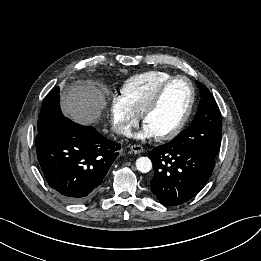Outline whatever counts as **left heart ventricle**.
Segmentation results:
<instances>
[{"instance_id":"obj_1","label":"left heart ventricle","mask_w":261,"mask_h":261,"mask_svg":"<svg viewBox=\"0 0 261 261\" xmlns=\"http://www.w3.org/2000/svg\"><path fill=\"white\" fill-rule=\"evenodd\" d=\"M190 100V88L185 80L174 82L166 91L159 108L145 122L154 134L174 129L182 119Z\"/></svg>"}]
</instances>
